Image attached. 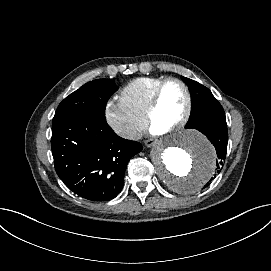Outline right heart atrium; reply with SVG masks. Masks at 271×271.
Instances as JSON below:
<instances>
[{"mask_svg":"<svg viewBox=\"0 0 271 271\" xmlns=\"http://www.w3.org/2000/svg\"><path fill=\"white\" fill-rule=\"evenodd\" d=\"M103 114L107 124L125 140L138 139L147 126L146 117L133 112L120 97L108 99Z\"/></svg>","mask_w":271,"mask_h":271,"instance_id":"d8ad5b80","label":"right heart atrium"}]
</instances>
